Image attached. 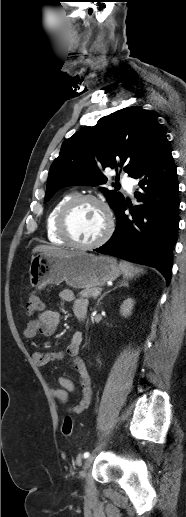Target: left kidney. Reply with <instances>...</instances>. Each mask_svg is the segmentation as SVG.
I'll use <instances>...</instances> for the list:
<instances>
[{
	"mask_svg": "<svg viewBox=\"0 0 186 517\" xmlns=\"http://www.w3.org/2000/svg\"><path fill=\"white\" fill-rule=\"evenodd\" d=\"M134 306V300L132 298H128L123 301V304L120 306V313L124 317H128L132 312Z\"/></svg>",
	"mask_w": 186,
	"mask_h": 517,
	"instance_id": "left-kidney-1",
	"label": "left kidney"
}]
</instances>
